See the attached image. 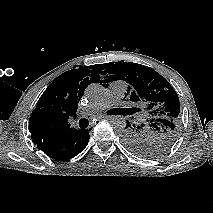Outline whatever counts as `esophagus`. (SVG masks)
<instances>
[{"label": "esophagus", "mask_w": 213, "mask_h": 213, "mask_svg": "<svg viewBox=\"0 0 213 213\" xmlns=\"http://www.w3.org/2000/svg\"><path fill=\"white\" fill-rule=\"evenodd\" d=\"M104 118H107V116H105V115H100V116L97 117L98 120L104 119Z\"/></svg>", "instance_id": "obj_1"}]
</instances>
